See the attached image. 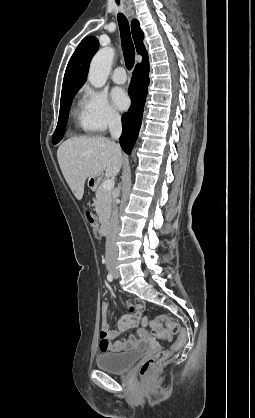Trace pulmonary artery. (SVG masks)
I'll list each match as a JSON object with an SVG mask.
<instances>
[{
    "label": "pulmonary artery",
    "instance_id": "e3ab8cb5",
    "mask_svg": "<svg viewBox=\"0 0 255 418\" xmlns=\"http://www.w3.org/2000/svg\"><path fill=\"white\" fill-rule=\"evenodd\" d=\"M125 69L121 66L116 67L112 73V79L117 84H123L126 81Z\"/></svg>",
    "mask_w": 255,
    "mask_h": 418
}]
</instances>
